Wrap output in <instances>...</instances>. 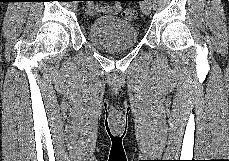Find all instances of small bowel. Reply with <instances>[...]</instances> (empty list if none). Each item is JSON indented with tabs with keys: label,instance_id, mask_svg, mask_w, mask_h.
Returning a JSON list of instances; mask_svg holds the SVG:
<instances>
[{
	"label": "small bowel",
	"instance_id": "small-bowel-1",
	"mask_svg": "<svg viewBox=\"0 0 229 161\" xmlns=\"http://www.w3.org/2000/svg\"><path fill=\"white\" fill-rule=\"evenodd\" d=\"M120 9V4L119 2H115L113 5L109 6V7H106L105 10L108 12V13H111V14H114V13H117ZM98 11V8L96 7H91L90 8V12H97Z\"/></svg>",
	"mask_w": 229,
	"mask_h": 161
}]
</instances>
